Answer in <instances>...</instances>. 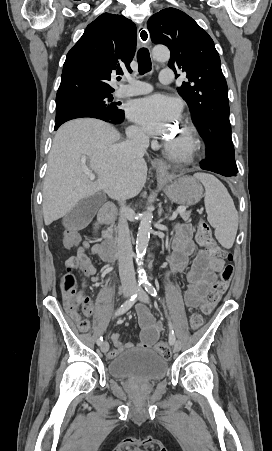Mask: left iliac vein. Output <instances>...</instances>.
Returning <instances> with one entry per match:
<instances>
[{
	"mask_svg": "<svg viewBox=\"0 0 272 451\" xmlns=\"http://www.w3.org/2000/svg\"><path fill=\"white\" fill-rule=\"evenodd\" d=\"M139 300L144 303H149V297L145 291L140 292ZM180 347H181L180 342L176 341L174 345L175 350L176 351L180 350Z\"/></svg>",
	"mask_w": 272,
	"mask_h": 451,
	"instance_id": "1",
	"label": "left iliac vein"
}]
</instances>
